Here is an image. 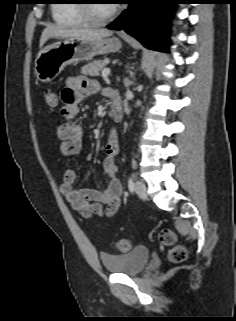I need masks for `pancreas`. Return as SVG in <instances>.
I'll list each match as a JSON object with an SVG mask.
<instances>
[{
	"instance_id": "1",
	"label": "pancreas",
	"mask_w": 236,
	"mask_h": 321,
	"mask_svg": "<svg viewBox=\"0 0 236 321\" xmlns=\"http://www.w3.org/2000/svg\"><path fill=\"white\" fill-rule=\"evenodd\" d=\"M108 63V59L104 58L103 60H95L91 63H88L84 67H82L81 71L85 75H89L91 77L98 76L100 71H102Z\"/></svg>"
}]
</instances>
